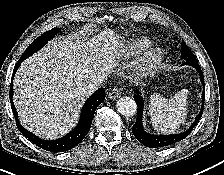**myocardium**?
Masks as SVG:
<instances>
[{"mask_svg":"<svg viewBox=\"0 0 224 175\" xmlns=\"http://www.w3.org/2000/svg\"><path fill=\"white\" fill-rule=\"evenodd\" d=\"M163 55V50L160 48L147 50L141 57L136 72L138 74H146L154 70L161 63Z\"/></svg>","mask_w":224,"mask_h":175,"instance_id":"obj_1","label":"myocardium"}]
</instances>
